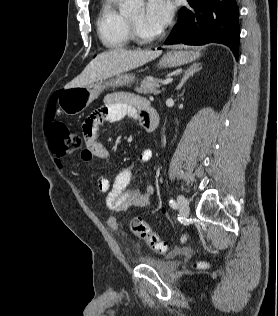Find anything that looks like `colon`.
<instances>
[{
	"instance_id": "5ec220e1",
	"label": "colon",
	"mask_w": 278,
	"mask_h": 316,
	"mask_svg": "<svg viewBox=\"0 0 278 316\" xmlns=\"http://www.w3.org/2000/svg\"><path fill=\"white\" fill-rule=\"evenodd\" d=\"M47 137L52 152L59 157L75 152L81 146L82 141L76 131L61 122H53L48 125ZM129 226L138 238L145 241L157 253L166 252V244L141 217H132Z\"/></svg>"
}]
</instances>
